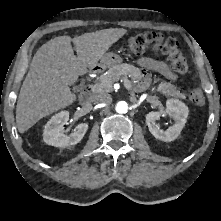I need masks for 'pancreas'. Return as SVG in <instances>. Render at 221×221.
<instances>
[{
    "label": "pancreas",
    "mask_w": 221,
    "mask_h": 221,
    "mask_svg": "<svg viewBox=\"0 0 221 221\" xmlns=\"http://www.w3.org/2000/svg\"><path fill=\"white\" fill-rule=\"evenodd\" d=\"M139 75V68L131 64L123 63L113 66L105 74L99 77V82L94 86V91L98 93L111 92L115 81L122 78L130 85L131 82L129 78L135 81L139 78ZM159 91L165 96L186 99L185 95L177 90L176 86L169 82H162L159 85Z\"/></svg>",
    "instance_id": "obj_1"
}]
</instances>
